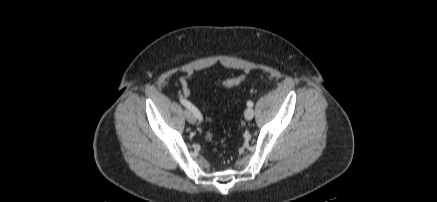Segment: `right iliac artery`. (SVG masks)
Here are the masks:
<instances>
[{"label": "right iliac artery", "instance_id": "right-iliac-artery-1", "mask_svg": "<svg viewBox=\"0 0 437 202\" xmlns=\"http://www.w3.org/2000/svg\"><path fill=\"white\" fill-rule=\"evenodd\" d=\"M181 104H183L186 108L190 109L193 111L194 115L196 116V118L199 121H202L203 117L201 115V113L199 112V110L194 107L190 102H188L187 100L183 99L182 97L179 99Z\"/></svg>", "mask_w": 437, "mask_h": 202}]
</instances>
